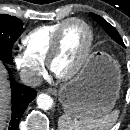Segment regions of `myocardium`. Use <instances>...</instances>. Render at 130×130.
Masks as SVG:
<instances>
[{"label":"myocardium","instance_id":"1","mask_svg":"<svg viewBox=\"0 0 130 130\" xmlns=\"http://www.w3.org/2000/svg\"><path fill=\"white\" fill-rule=\"evenodd\" d=\"M73 22L81 24L86 29V31L88 33L87 45L84 50V53L82 54V56H81L80 60L77 62V64L69 72L64 73V74H59L54 71L53 63L61 49L62 33H63L65 27L68 24L73 23ZM92 45H93V31H92L91 26L86 21H84L83 19H80V18H69V19L65 20L62 23V25L58 28V30L56 31V33L53 37L52 44H51V47H50V50H49V53H48V56L46 59V65H47L49 71L54 75V77H56L57 79H59L61 81H67V80L72 79L81 71V69L84 67V65L88 61V58H89L91 50H92Z\"/></svg>","mask_w":130,"mask_h":130}]
</instances>
